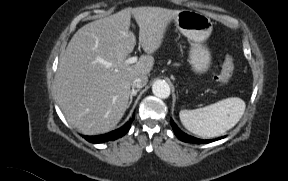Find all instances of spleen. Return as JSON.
Instances as JSON below:
<instances>
[{
	"label": "spleen",
	"instance_id": "obj_1",
	"mask_svg": "<svg viewBox=\"0 0 288 181\" xmlns=\"http://www.w3.org/2000/svg\"><path fill=\"white\" fill-rule=\"evenodd\" d=\"M245 102L231 97L195 110H181L179 117L183 126L203 138L222 135L233 128L245 112Z\"/></svg>",
	"mask_w": 288,
	"mask_h": 181
}]
</instances>
